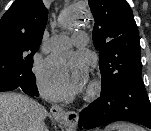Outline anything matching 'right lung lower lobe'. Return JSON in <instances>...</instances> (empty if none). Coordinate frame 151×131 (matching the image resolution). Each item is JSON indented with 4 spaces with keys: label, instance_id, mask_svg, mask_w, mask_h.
I'll return each instance as SVG.
<instances>
[{
    "label": "right lung lower lobe",
    "instance_id": "98d812e1",
    "mask_svg": "<svg viewBox=\"0 0 151 131\" xmlns=\"http://www.w3.org/2000/svg\"><path fill=\"white\" fill-rule=\"evenodd\" d=\"M16 88L21 89L24 93L29 96H39L38 89L35 83V76L26 78L18 82L8 81L3 76H0V92L11 91Z\"/></svg>",
    "mask_w": 151,
    "mask_h": 131
}]
</instances>
